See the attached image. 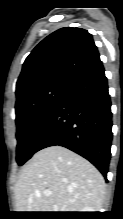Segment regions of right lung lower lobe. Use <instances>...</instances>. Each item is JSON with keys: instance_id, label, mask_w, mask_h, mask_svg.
<instances>
[{"instance_id": "98d812e1", "label": "right lung lower lobe", "mask_w": 123, "mask_h": 219, "mask_svg": "<svg viewBox=\"0 0 123 219\" xmlns=\"http://www.w3.org/2000/svg\"><path fill=\"white\" fill-rule=\"evenodd\" d=\"M100 59L66 84L36 144L63 146L89 160L106 178L112 141L111 101Z\"/></svg>"}]
</instances>
